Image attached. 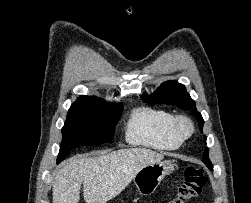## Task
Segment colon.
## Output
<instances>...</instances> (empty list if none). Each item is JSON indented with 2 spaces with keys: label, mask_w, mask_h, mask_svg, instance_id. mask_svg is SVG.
Wrapping results in <instances>:
<instances>
[{
  "label": "colon",
  "mask_w": 251,
  "mask_h": 203,
  "mask_svg": "<svg viewBox=\"0 0 251 203\" xmlns=\"http://www.w3.org/2000/svg\"><path fill=\"white\" fill-rule=\"evenodd\" d=\"M204 185L203 169L189 166L185 169L184 180L179 184L175 196L167 203H187L199 196Z\"/></svg>",
  "instance_id": "colon-1"
}]
</instances>
